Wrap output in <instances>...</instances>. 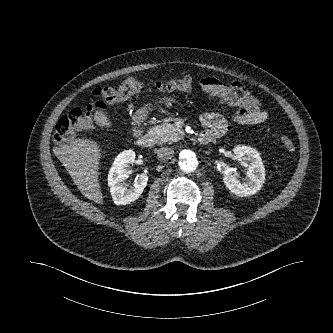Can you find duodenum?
I'll return each instance as SVG.
<instances>
[{
    "label": "duodenum",
    "instance_id": "obj_1",
    "mask_svg": "<svg viewBox=\"0 0 333 333\" xmlns=\"http://www.w3.org/2000/svg\"><path fill=\"white\" fill-rule=\"evenodd\" d=\"M133 136L136 143L142 148H150L154 144V137L141 130L139 118L136 120V126L134 129ZM212 139L213 137L207 132L201 133L197 138L198 143L200 144H208L209 142H211Z\"/></svg>",
    "mask_w": 333,
    "mask_h": 333
}]
</instances>
